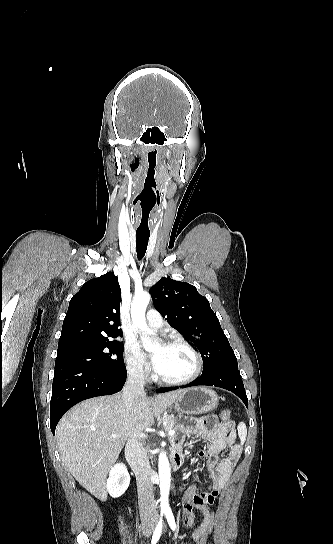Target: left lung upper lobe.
Returning a JSON list of instances; mask_svg holds the SVG:
<instances>
[{"label":"left lung upper lobe","mask_w":333,"mask_h":544,"mask_svg":"<svg viewBox=\"0 0 333 544\" xmlns=\"http://www.w3.org/2000/svg\"><path fill=\"white\" fill-rule=\"evenodd\" d=\"M150 293L155 309L197 346L203 359L202 373L226 365L238 367L216 314L195 286L162 277Z\"/></svg>","instance_id":"1"}]
</instances>
